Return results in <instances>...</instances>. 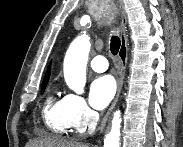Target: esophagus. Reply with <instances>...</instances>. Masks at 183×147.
Instances as JSON below:
<instances>
[{
    "label": "esophagus",
    "mask_w": 183,
    "mask_h": 147,
    "mask_svg": "<svg viewBox=\"0 0 183 147\" xmlns=\"http://www.w3.org/2000/svg\"><path fill=\"white\" fill-rule=\"evenodd\" d=\"M120 13H121V23H120V41H121V46L118 52V57H119V77L117 80V92L114 97V100L108 109L107 113L105 114L100 126H99V132L102 133L106 123L108 121V118L114 109L118 98L121 93L123 81H124V76H125V71H126V65H127V34H126V24H127V17H126V11H125V6L123 0H120Z\"/></svg>",
    "instance_id": "1"
}]
</instances>
